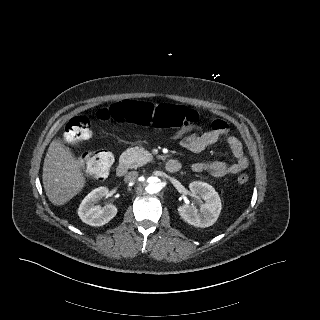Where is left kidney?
Segmentation results:
<instances>
[{
  "instance_id": "1",
  "label": "left kidney",
  "mask_w": 320,
  "mask_h": 320,
  "mask_svg": "<svg viewBox=\"0 0 320 320\" xmlns=\"http://www.w3.org/2000/svg\"><path fill=\"white\" fill-rule=\"evenodd\" d=\"M190 191L199 195L204 201L200 206V213L195 206L184 204L178 207V212L185 222L195 227L206 228L213 225L221 212L222 204L215 189L201 181H194L189 185Z\"/></svg>"
}]
</instances>
